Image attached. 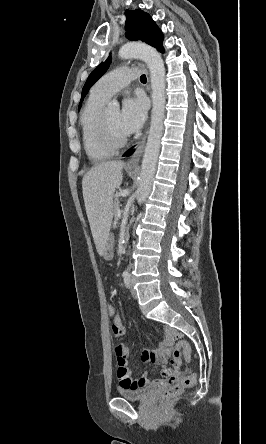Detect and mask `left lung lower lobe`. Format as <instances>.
<instances>
[{
	"instance_id": "0a47b994",
	"label": "left lung lower lobe",
	"mask_w": 266,
	"mask_h": 444,
	"mask_svg": "<svg viewBox=\"0 0 266 444\" xmlns=\"http://www.w3.org/2000/svg\"><path fill=\"white\" fill-rule=\"evenodd\" d=\"M133 152H134V149L131 152H129L128 154H125L124 156H130Z\"/></svg>"
}]
</instances>
